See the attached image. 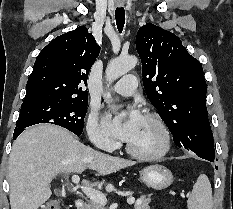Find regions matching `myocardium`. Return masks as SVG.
<instances>
[{
	"label": "myocardium",
	"instance_id": "1",
	"mask_svg": "<svg viewBox=\"0 0 233 209\" xmlns=\"http://www.w3.org/2000/svg\"><path fill=\"white\" fill-rule=\"evenodd\" d=\"M145 117L151 120L160 130L162 142L159 149L153 152H139L133 149L129 143L126 144V151L132 157L139 159V160H156L165 156L171 146V135L167 125L164 121L158 116L156 113L149 112L145 114Z\"/></svg>",
	"mask_w": 233,
	"mask_h": 209
}]
</instances>
